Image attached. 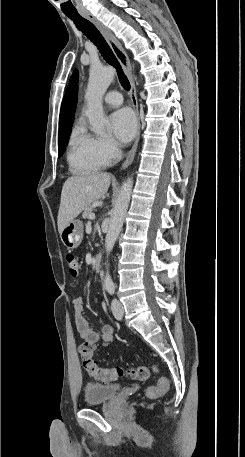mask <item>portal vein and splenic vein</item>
<instances>
[{"label": "portal vein and splenic vein", "instance_id": "portal-vein-and-splenic-vein-1", "mask_svg": "<svg viewBox=\"0 0 245 457\" xmlns=\"http://www.w3.org/2000/svg\"><path fill=\"white\" fill-rule=\"evenodd\" d=\"M90 218H95V214H91Z\"/></svg>", "mask_w": 245, "mask_h": 457}]
</instances>
